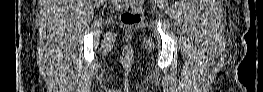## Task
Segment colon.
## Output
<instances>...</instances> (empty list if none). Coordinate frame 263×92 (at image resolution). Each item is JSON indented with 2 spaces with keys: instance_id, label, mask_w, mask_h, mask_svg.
I'll return each instance as SVG.
<instances>
[{
  "instance_id": "colon-1",
  "label": "colon",
  "mask_w": 263,
  "mask_h": 92,
  "mask_svg": "<svg viewBox=\"0 0 263 92\" xmlns=\"http://www.w3.org/2000/svg\"><path fill=\"white\" fill-rule=\"evenodd\" d=\"M142 0L132 1L136 6L122 13L120 19L125 26H134L139 24L143 18V10L141 7Z\"/></svg>"
}]
</instances>
